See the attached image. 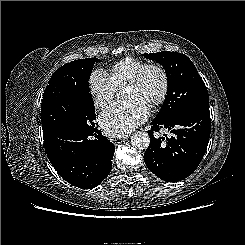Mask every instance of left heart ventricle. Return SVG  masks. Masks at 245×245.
<instances>
[{"mask_svg":"<svg viewBox=\"0 0 245 245\" xmlns=\"http://www.w3.org/2000/svg\"><path fill=\"white\" fill-rule=\"evenodd\" d=\"M162 88L161 76L157 71H151L138 86H127L123 89L124 98L137 97L149 104L155 99Z\"/></svg>","mask_w":245,"mask_h":245,"instance_id":"1","label":"left heart ventricle"}]
</instances>
